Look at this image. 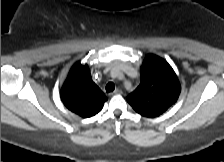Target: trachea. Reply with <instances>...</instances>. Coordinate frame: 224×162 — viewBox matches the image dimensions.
I'll return each mask as SVG.
<instances>
[{"mask_svg": "<svg viewBox=\"0 0 224 162\" xmlns=\"http://www.w3.org/2000/svg\"><path fill=\"white\" fill-rule=\"evenodd\" d=\"M115 89V84L113 82H109L107 85H106V92H113Z\"/></svg>", "mask_w": 224, "mask_h": 162, "instance_id": "1", "label": "trachea"}]
</instances>
